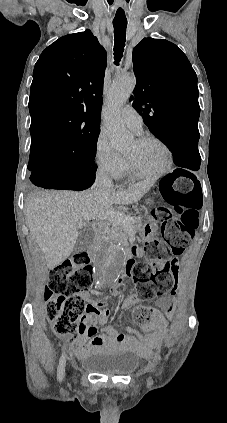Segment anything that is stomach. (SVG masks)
<instances>
[{
  "label": "stomach",
  "instance_id": "stomach-1",
  "mask_svg": "<svg viewBox=\"0 0 227 423\" xmlns=\"http://www.w3.org/2000/svg\"><path fill=\"white\" fill-rule=\"evenodd\" d=\"M144 204H145V208H152L153 206V202L152 200H150V198H146Z\"/></svg>",
  "mask_w": 227,
  "mask_h": 423
}]
</instances>
